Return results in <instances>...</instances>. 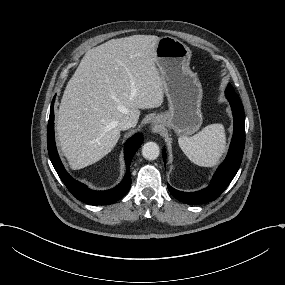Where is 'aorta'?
Returning a JSON list of instances; mask_svg holds the SVG:
<instances>
[{
    "label": "aorta",
    "mask_w": 285,
    "mask_h": 285,
    "mask_svg": "<svg viewBox=\"0 0 285 285\" xmlns=\"http://www.w3.org/2000/svg\"><path fill=\"white\" fill-rule=\"evenodd\" d=\"M160 154L159 146L155 142H147L142 147V155L147 160H155Z\"/></svg>",
    "instance_id": "aorta-1"
}]
</instances>
